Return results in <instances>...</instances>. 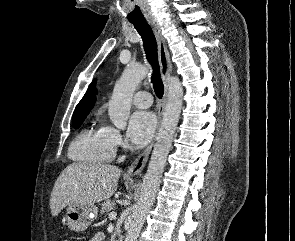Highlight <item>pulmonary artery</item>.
<instances>
[{
  "label": "pulmonary artery",
  "instance_id": "pulmonary-artery-1",
  "mask_svg": "<svg viewBox=\"0 0 295 241\" xmlns=\"http://www.w3.org/2000/svg\"><path fill=\"white\" fill-rule=\"evenodd\" d=\"M133 104L138 108H148L152 105L153 97L147 91H139L133 96Z\"/></svg>",
  "mask_w": 295,
  "mask_h": 241
}]
</instances>
